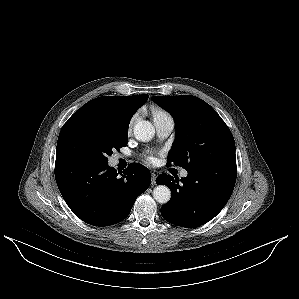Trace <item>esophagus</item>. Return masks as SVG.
<instances>
[{
  "label": "esophagus",
  "instance_id": "34e87169",
  "mask_svg": "<svg viewBox=\"0 0 299 299\" xmlns=\"http://www.w3.org/2000/svg\"><path fill=\"white\" fill-rule=\"evenodd\" d=\"M151 176H152V185H155L156 184V177H157V175H156L155 172H152Z\"/></svg>",
  "mask_w": 299,
  "mask_h": 299
}]
</instances>
